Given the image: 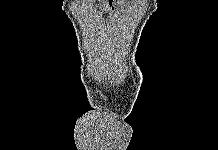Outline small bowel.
<instances>
[{"mask_svg": "<svg viewBox=\"0 0 218 150\" xmlns=\"http://www.w3.org/2000/svg\"><path fill=\"white\" fill-rule=\"evenodd\" d=\"M102 6L105 12H111L114 10L112 0H102Z\"/></svg>", "mask_w": 218, "mask_h": 150, "instance_id": "1", "label": "small bowel"}]
</instances>
